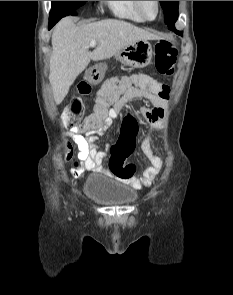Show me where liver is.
Masks as SVG:
<instances>
[{"label":"liver","mask_w":233,"mask_h":295,"mask_svg":"<svg viewBox=\"0 0 233 295\" xmlns=\"http://www.w3.org/2000/svg\"><path fill=\"white\" fill-rule=\"evenodd\" d=\"M158 37L137 26L116 19H107L76 26L71 16L61 19L52 33L49 81L56 104L66 97L70 86L91 60L99 61L116 55L138 40ZM98 46L91 52L89 43Z\"/></svg>","instance_id":"obj_1"}]
</instances>
